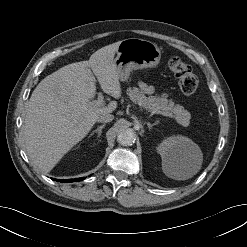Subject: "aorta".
Returning a JSON list of instances; mask_svg holds the SVG:
<instances>
[{
	"label": "aorta",
	"instance_id": "obj_1",
	"mask_svg": "<svg viewBox=\"0 0 247 247\" xmlns=\"http://www.w3.org/2000/svg\"><path fill=\"white\" fill-rule=\"evenodd\" d=\"M135 133L132 129H123L118 133L117 141L123 146H131L135 142Z\"/></svg>",
	"mask_w": 247,
	"mask_h": 247
}]
</instances>
